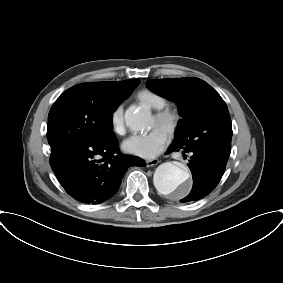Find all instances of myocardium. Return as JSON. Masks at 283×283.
<instances>
[{
  "label": "myocardium",
  "mask_w": 283,
  "mask_h": 283,
  "mask_svg": "<svg viewBox=\"0 0 283 283\" xmlns=\"http://www.w3.org/2000/svg\"><path fill=\"white\" fill-rule=\"evenodd\" d=\"M153 117L164 127V131L168 136H174L178 131L181 123L179 111L171 106H165L155 111Z\"/></svg>",
  "instance_id": "myocardium-1"
}]
</instances>
